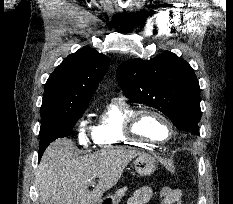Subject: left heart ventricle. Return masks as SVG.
I'll return each mask as SVG.
<instances>
[{"mask_svg":"<svg viewBox=\"0 0 233 204\" xmlns=\"http://www.w3.org/2000/svg\"><path fill=\"white\" fill-rule=\"evenodd\" d=\"M137 131L153 140H164L168 137V128L166 124L158 117L145 114L142 115L137 123Z\"/></svg>","mask_w":233,"mask_h":204,"instance_id":"left-heart-ventricle-1","label":"left heart ventricle"}]
</instances>
